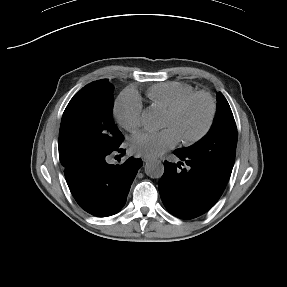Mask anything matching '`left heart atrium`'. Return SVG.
<instances>
[{
    "label": "left heart atrium",
    "mask_w": 287,
    "mask_h": 287,
    "mask_svg": "<svg viewBox=\"0 0 287 287\" xmlns=\"http://www.w3.org/2000/svg\"><path fill=\"white\" fill-rule=\"evenodd\" d=\"M179 136L173 128H165L159 132H142L131 140L134 153L144 157H156L173 148Z\"/></svg>",
    "instance_id": "39dd6f15"
}]
</instances>
